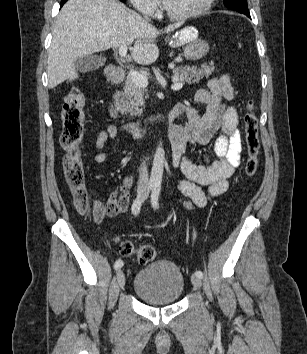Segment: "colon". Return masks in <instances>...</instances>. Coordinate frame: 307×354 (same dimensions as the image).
Here are the masks:
<instances>
[{
  "instance_id": "5ec220e1",
  "label": "colon",
  "mask_w": 307,
  "mask_h": 354,
  "mask_svg": "<svg viewBox=\"0 0 307 354\" xmlns=\"http://www.w3.org/2000/svg\"><path fill=\"white\" fill-rule=\"evenodd\" d=\"M83 105L84 96L79 90L71 91L66 97L62 109L61 144L66 154L63 158V168L67 183L73 196L76 209L84 214H90L99 221L108 212V208L91 200L86 188L83 161L80 144L83 137ZM256 105L253 99L247 101V112L244 116V134L247 150L245 173L253 177L259 167V138ZM119 253L123 257H134L139 263L153 261L157 252L151 245L136 246L124 241L119 245Z\"/></svg>"
}]
</instances>
